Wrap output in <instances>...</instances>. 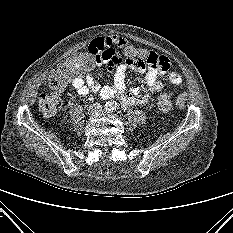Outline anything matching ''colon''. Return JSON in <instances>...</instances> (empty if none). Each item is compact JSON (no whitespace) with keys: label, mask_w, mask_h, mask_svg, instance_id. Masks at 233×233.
<instances>
[{"label":"colon","mask_w":233,"mask_h":233,"mask_svg":"<svg viewBox=\"0 0 233 233\" xmlns=\"http://www.w3.org/2000/svg\"><path fill=\"white\" fill-rule=\"evenodd\" d=\"M126 59L130 63L145 66L165 67L167 63L153 59L149 52L144 49L135 48L124 44ZM100 61L98 54L91 50L80 52L54 68L48 78V87L53 91L43 93L39 99L40 110L45 115H52L56 111L58 102V92L64 89L67 83L75 76L81 75L85 71L92 69ZM173 97L170 92H163L157 98V105L160 111L167 112L172 108Z\"/></svg>","instance_id":"5ec220e1"}]
</instances>
